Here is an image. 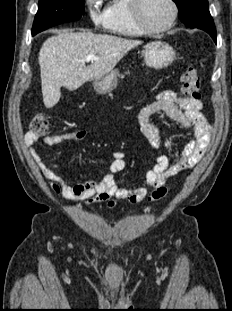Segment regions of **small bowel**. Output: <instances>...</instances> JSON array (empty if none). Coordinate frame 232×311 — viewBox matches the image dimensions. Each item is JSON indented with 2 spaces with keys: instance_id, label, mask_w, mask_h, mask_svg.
Listing matches in <instances>:
<instances>
[{
  "instance_id": "1",
  "label": "small bowel",
  "mask_w": 232,
  "mask_h": 311,
  "mask_svg": "<svg viewBox=\"0 0 232 311\" xmlns=\"http://www.w3.org/2000/svg\"><path fill=\"white\" fill-rule=\"evenodd\" d=\"M203 104L200 100H190L172 90L161 91L153 101L144 106L138 113L137 120L141 133L154 148L162 146L158 128L151 123L150 118L163 112L171 120L184 128L191 129L193 138L187 143L180 156L172 161L166 155H158L154 166L145 175L142 186L126 189L116 184L114 175L122 172L127 162L120 151L113 152V160L107 172H102L100 180L87 179L82 183L70 185L63 178L62 167L53 161L45 163L41 155L35 150L39 137L33 132L24 136V144L32 150V158L42 175L48 180L51 189L73 203L84 201L87 206L100 202H107L108 207L116 205V200H125L136 204L141 202L147 194L148 188L164 185L168 178L197 165L203 158L211 137V127L203 116ZM87 137L83 129L49 136L43 139L46 146L59 145L64 141H81Z\"/></svg>"
}]
</instances>
